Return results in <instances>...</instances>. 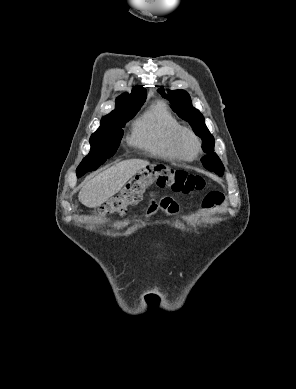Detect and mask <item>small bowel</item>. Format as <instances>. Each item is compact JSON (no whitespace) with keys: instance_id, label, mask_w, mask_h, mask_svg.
<instances>
[{"instance_id":"obj_1","label":"small bowel","mask_w":296,"mask_h":389,"mask_svg":"<svg viewBox=\"0 0 296 389\" xmlns=\"http://www.w3.org/2000/svg\"><path fill=\"white\" fill-rule=\"evenodd\" d=\"M223 201L224 197L221 194L209 193L204 197L201 207L204 210L214 209L221 205ZM159 208L164 210L169 215H174L178 211V204L171 197H164L159 201L152 200L147 208V214L149 216L153 215Z\"/></svg>"}]
</instances>
